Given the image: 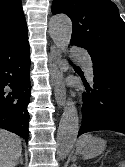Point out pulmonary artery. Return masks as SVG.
I'll return each instance as SVG.
<instances>
[{
	"label": "pulmonary artery",
	"instance_id": "obj_1",
	"mask_svg": "<svg viewBox=\"0 0 125 167\" xmlns=\"http://www.w3.org/2000/svg\"><path fill=\"white\" fill-rule=\"evenodd\" d=\"M72 54L84 63L85 71L88 77L92 79L93 78V68H92V62L89 56L85 52H82L78 49H75Z\"/></svg>",
	"mask_w": 125,
	"mask_h": 167
}]
</instances>
